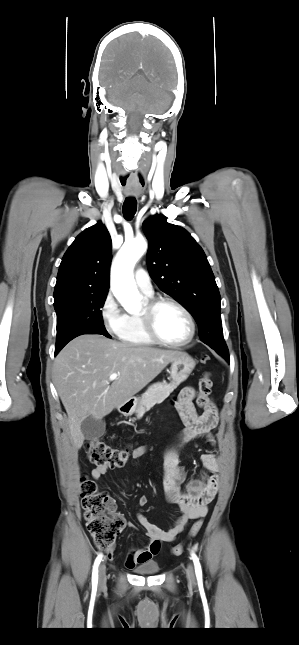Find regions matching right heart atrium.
<instances>
[{"mask_svg": "<svg viewBox=\"0 0 299 645\" xmlns=\"http://www.w3.org/2000/svg\"><path fill=\"white\" fill-rule=\"evenodd\" d=\"M100 317L107 333L113 336L120 335L125 324L126 314L111 292H108L102 301Z\"/></svg>", "mask_w": 299, "mask_h": 645, "instance_id": "d8ad5b80", "label": "right heart atrium"}]
</instances>
